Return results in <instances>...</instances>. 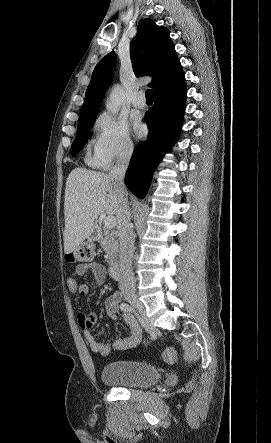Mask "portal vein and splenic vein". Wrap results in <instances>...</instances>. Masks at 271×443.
Wrapping results in <instances>:
<instances>
[{
	"mask_svg": "<svg viewBox=\"0 0 271 443\" xmlns=\"http://www.w3.org/2000/svg\"><path fill=\"white\" fill-rule=\"evenodd\" d=\"M116 225V218L114 216H107L104 220V227H114Z\"/></svg>",
	"mask_w": 271,
	"mask_h": 443,
	"instance_id": "portal-vein-and-splenic-vein-1",
	"label": "portal vein and splenic vein"
}]
</instances>
